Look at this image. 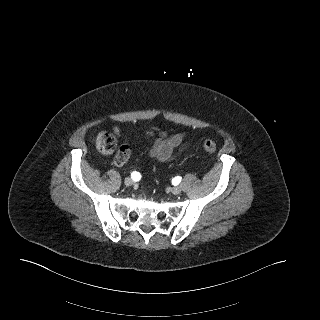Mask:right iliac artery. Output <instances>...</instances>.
I'll list each match as a JSON object with an SVG mask.
<instances>
[{
	"label": "right iliac artery",
	"mask_w": 320,
	"mask_h": 320,
	"mask_svg": "<svg viewBox=\"0 0 320 320\" xmlns=\"http://www.w3.org/2000/svg\"><path fill=\"white\" fill-rule=\"evenodd\" d=\"M131 176H132V179L135 180V181L139 180V178H140V175H139L138 172H133L131 174Z\"/></svg>",
	"instance_id": "right-iliac-artery-1"
}]
</instances>
